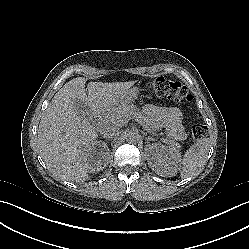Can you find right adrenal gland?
Listing matches in <instances>:
<instances>
[{"instance_id": "right-adrenal-gland-1", "label": "right adrenal gland", "mask_w": 249, "mask_h": 249, "mask_svg": "<svg viewBox=\"0 0 249 249\" xmlns=\"http://www.w3.org/2000/svg\"><path fill=\"white\" fill-rule=\"evenodd\" d=\"M100 144H101V145H104V146L106 145V143H105V142H103V143H100Z\"/></svg>"}]
</instances>
